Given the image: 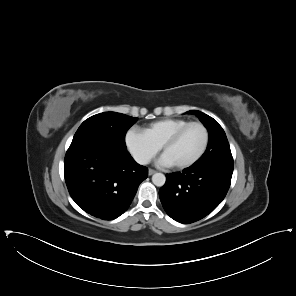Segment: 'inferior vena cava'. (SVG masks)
<instances>
[{"instance_id": "obj_1", "label": "inferior vena cava", "mask_w": 296, "mask_h": 296, "mask_svg": "<svg viewBox=\"0 0 296 296\" xmlns=\"http://www.w3.org/2000/svg\"><path fill=\"white\" fill-rule=\"evenodd\" d=\"M133 158L141 165H146L150 162V156L140 152L134 153Z\"/></svg>"}]
</instances>
